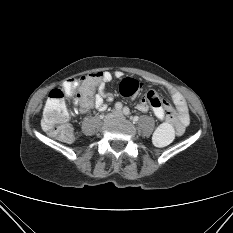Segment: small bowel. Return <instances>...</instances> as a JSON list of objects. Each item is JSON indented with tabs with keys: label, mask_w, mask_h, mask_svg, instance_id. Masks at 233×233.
<instances>
[{
	"label": "small bowel",
	"mask_w": 233,
	"mask_h": 233,
	"mask_svg": "<svg viewBox=\"0 0 233 233\" xmlns=\"http://www.w3.org/2000/svg\"><path fill=\"white\" fill-rule=\"evenodd\" d=\"M121 72H116L115 77H120ZM113 78V75L109 72L101 74L100 81L96 88V93L86 94L83 88V84H79L77 81H73L68 88L70 94L77 93L75 97V103L79 106L78 112L86 113L91 108H96L99 111H104L108 103L113 100V96L106 93L105 87ZM172 101L175 105L173 107L167 101L160 99L156 93H153L151 98L147 96L137 105V109L140 112H147L151 107L155 116L160 119L171 122L176 129L178 135L182 134L185 130L186 125L189 122L188 108L186 101L182 94L172 87H167Z\"/></svg>",
	"instance_id": "obj_1"
}]
</instances>
